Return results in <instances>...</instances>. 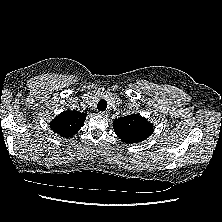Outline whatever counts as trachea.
<instances>
[{"instance_id":"obj_1","label":"trachea","mask_w":222,"mask_h":222,"mask_svg":"<svg viewBox=\"0 0 222 222\" xmlns=\"http://www.w3.org/2000/svg\"><path fill=\"white\" fill-rule=\"evenodd\" d=\"M97 108L99 111H105L107 108V102L104 99L99 100L97 104Z\"/></svg>"}]
</instances>
